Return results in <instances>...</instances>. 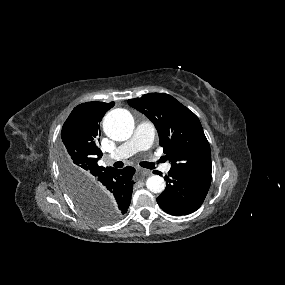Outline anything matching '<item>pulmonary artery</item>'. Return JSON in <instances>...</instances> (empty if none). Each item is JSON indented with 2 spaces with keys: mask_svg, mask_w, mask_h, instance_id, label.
<instances>
[{
  "mask_svg": "<svg viewBox=\"0 0 285 285\" xmlns=\"http://www.w3.org/2000/svg\"><path fill=\"white\" fill-rule=\"evenodd\" d=\"M155 130L153 125L148 121H141L137 124L133 136L125 143L118 146L111 154L108 155V160H115L121 158H127L132 156L138 151H144L151 147L154 140ZM154 162L158 165L161 164V168L164 172H169L170 163H163L156 158H153Z\"/></svg>",
  "mask_w": 285,
  "mask_h": 285,
  "instance_id": "e3ab8cb5",
  "label": "pulmonary artery"
}]
</instances>
